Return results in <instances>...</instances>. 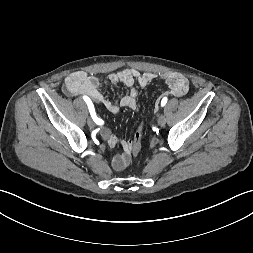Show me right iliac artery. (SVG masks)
Here are the masks:
<instances>
[{
  "label": "right iliac artery",
  "mask_w": 253,
  "mask_h": 253,
  "mask_svg": "<svg viewBox=\"0 0 253 253\" xmlns=\"http://www.w3.org/2000/svg\"><path fill=\"white\" fill-rule=\"evenodd\" d=\"M84 101L87 103L90 114L92 119L94 120V122L98 125L103 124V120H101L100 118H97L96 113H95V109H94V105L92 103V101L90 100L89 97L87 96H83Z\"/></svg>",
  "instance_id": "82829eb1"
}]
</instances>
